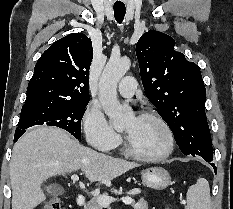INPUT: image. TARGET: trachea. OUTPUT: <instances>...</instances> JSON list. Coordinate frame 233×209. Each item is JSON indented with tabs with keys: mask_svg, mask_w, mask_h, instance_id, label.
Masks as SVG:
<instances>
[{
	"mask_svg": "<svg viewBox=\"0 0 233 209\" xmlns=\"http://www.w3.org/2000/svg\"><path fill=\"white\" fill-rule=\"evenodd\" d=\"M125 12V6H114V16L118 23H122Z\"/></svg>",
	"mask_w": 233,
	"mask_h": 209,
	"instance_id": "obj_1",
	"label": "trachea"
}]
</instances>
